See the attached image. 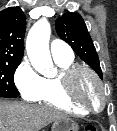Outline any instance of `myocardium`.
Segmentation results:
<instances>
[{
  "mask_svg": "<svg viewBox=\"0 0 117 131\" xmlns=\"http://www.w3.org/2000/svg\"><path fill=\"white\" fill-rule=\"evenodd\" d=\"M85 76L91 77L100 91L101 99L98 106H94L92 103L85 100L79 93V84ZM63 85L67 97L81 108L92 113H98L104 109L107 102L105 87L100 77L91 68L86 66H75L69 69L63 76Z\"/></svg>",
  "mask_w": 117,
  "mask_h": 131,
  "instance_id": "myocardium-1",
  "label": "myocardium"
}]
</instances>
